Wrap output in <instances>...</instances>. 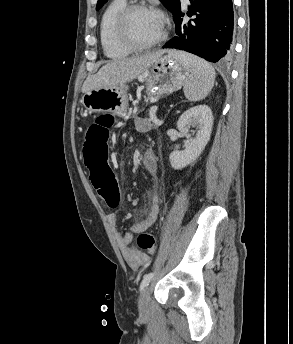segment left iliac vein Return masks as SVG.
<instances>
[{"label": "left iliac vein", "instance_id": "1", "mask_svg": "<svg viewBox=\"0 0 293 344\" xmlns=\"http://www.w3.org/2000/svg\"><path fill=\"white\" fill-rule=\"evenodd\" d=\"M139 307V314L140 316L144 317L148 315L149 308H150V290L149 288H145L139 298L138 302Z\"/></svg>", "mask_w": 293, "mask_h": 344}]
</instances>
